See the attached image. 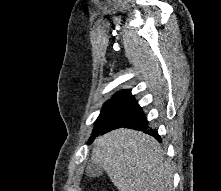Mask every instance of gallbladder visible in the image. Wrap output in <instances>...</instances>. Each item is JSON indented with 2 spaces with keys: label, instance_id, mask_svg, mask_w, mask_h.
Here are the masks:
<instances>
[{
  "label": "gallbladder",
  "instance_id": "bac80fb5",
  "mask_svg": "<svg viewBox=\"0 0 221 191\" xmlns=\"http://www.w3.org/2000/svg\"><path fill=\"white\" fill-rule=\"evenodd\" d=\"M103 173V168L102 166H100L99 164L90 161L86 167V174L89 177H99L101 176Z\"/></svg>",
  "mask_w": 221,
  "mask_h": 191
}]
</instances>
